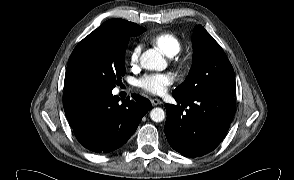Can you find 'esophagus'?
I'll list each match as a JSON object with an SVG mask.
<instances>
[{
  "label": "esophagus",
  "instance_id": "esophagus-1",
  "mask_svg": "<svg viewBox=\"0 0 294 180\" xmlns=\"http://www.w3.org/2000/svg\"><path fill=\"white\" fill-rule=\"evenodd\" d=\"M151 103L153 106H157V105H161L162 101L155 98V99H151Z\"/></svg>",
  "mask_w": 294,
  "mask_h": 180
}]
</instances>
